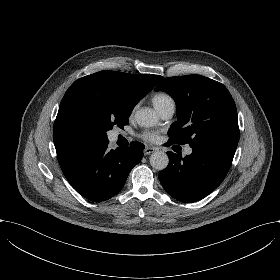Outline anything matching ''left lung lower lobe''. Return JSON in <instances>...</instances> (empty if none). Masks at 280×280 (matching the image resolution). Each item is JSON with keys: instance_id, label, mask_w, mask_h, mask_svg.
Wrapping results in <instances>:
<instances>
[{"instance_id": "1", "label": "left lung lower lobe", "mask_w": 280, "mask_h": 280, "mask_svg": "<svg viewBox=\"0 0 280 280\" xmlns=\"http://www.w3.org/2000/svg\"><path fill=\"white\" fill-rule=\"evenodd\" d=\"M167 144L176 143L169 140ZM192 148V153L184 158L167 152L169 165L159 173V179L166 192L186 203L206 197L220 185L231 166L236 150L221 146Z\"/></svg>"}]
</instances>
